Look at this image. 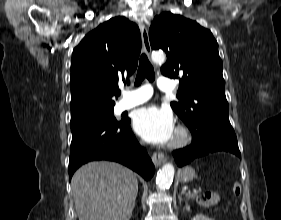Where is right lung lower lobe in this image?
<instances>
[{"mask_svg": "<svg viewBox=\"0 0 281 220\" xmlns=\"http://www.w3.org/2000/svg\"><path fill=\"white\" fill-rule=\"evenodd\" d=\"M94 160L119 162L150 180L155 167L130 129V119L119 125H90L72 131L69 178L81 165Z\"/></svg>", "mask_w": 281, "mask_h": 220, "instance_id": "obj_1", "label": "right lung lower lobe"}]
</instances>
